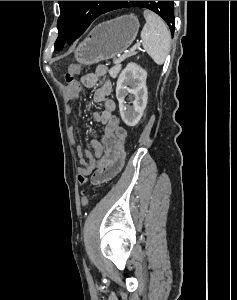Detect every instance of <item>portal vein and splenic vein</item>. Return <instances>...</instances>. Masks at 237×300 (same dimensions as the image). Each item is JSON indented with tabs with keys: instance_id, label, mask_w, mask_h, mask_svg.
Wrapping results in <instances>:
<instances>
[{
	"instance_id": "18ae733b",
	"label": "portal vein and splenic vein",
	"mask_w": 237,
	"mask_h": 300,
	"mask_svg": "<svg viewBox=\"0 0 237 300\" xmlns=\"http://www.w3.org/2000/svg\"><path fill=\"white\" fill-rule=\"evenodd\" d=\"M140 43L137 41L132 45L129 49L128 52H124V56L122 55L121 57H118L116 60H114L112 63L114 65H117L118 67L124 62L126 59L130 58V56H133V52L135 51L136 48H139ZM133 51V52H132Z\"/></svg>"
}]
</instances>
